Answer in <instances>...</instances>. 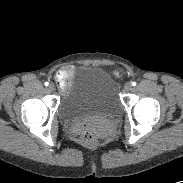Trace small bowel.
Returning <instances> with one entry per match:
<instances>
[{
  "label": "small bowel",
  "instance_id": "small-bowel-1",
  "mask_svg": "<svg viewBox=\"0 0 183 183\" xmlns=\"http://www.w3.org/2000/svg\"><path fill=\"white\" fill-rule=\"evenodd\" d=\"M58 74L64 75L66 77V87L62 88L63 90L67 89L70 84L71 76L73 74V70L71 68H65L61 70Z\"/></svg>",
  "mask_w": 183,
  "mask_h": 183
}]
</instances>
